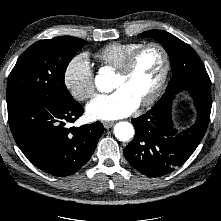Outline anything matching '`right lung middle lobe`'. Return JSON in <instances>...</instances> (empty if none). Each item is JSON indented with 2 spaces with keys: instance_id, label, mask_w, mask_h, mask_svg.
<instances>
[{
  "instance_id": "right-lung-middle-lobe-1",
  "label": "right lung middle lobe",
  "mask_w": 221,
  "mask_h": 221,
  "mask_svg": "<svg viewBox=\"0 0 221 221\" xmlns=\"http://www.w3.org/2000/svg\"><path fill=\"white\" fill-rule=\"evenodd\" d=\"M85 44L79 38L60 36L31 45L8 77L7 103L26 98L48 103L73 100L64 84V75L69 62Z\"/></svg>"
}]
</instances>
